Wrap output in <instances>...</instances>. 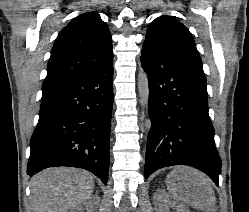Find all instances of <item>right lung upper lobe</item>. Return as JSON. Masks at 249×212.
<instances>
[{
	"mask_svg": "<svg viewBox=\"0 0 249 212\" xmlns=\"http://www.w3.org/2000/svg\"><path fill=\"white\" fill-rule=\"evenodd\" d=\"M113 59L112 38L96 12L79 15L56 38L42 88L87 74Z\"/></svg>",
	"mask_w": 249,
	"mask_h": 212,
	"instance_id": "right-lung-upper-lobe-1",
	"label": "right lung upper lobe"
}]
</instances>
